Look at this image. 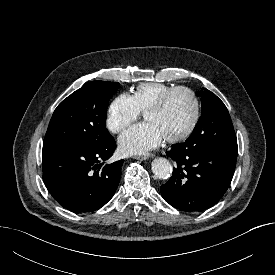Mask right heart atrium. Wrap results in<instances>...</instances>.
Segmentation results:
<instances>
[{
    "label": "right heart atrium",
    "instance_id": "right-heart-atrium-1",
    "mask_svg": "<svg viewBox=\"0 0 275 275\" xmlns=\"http://www.w3.org/2000/svg\"><path fill=\"white\" fill-rule=\"evenodd\" d=\"M140 116L131 95H118L109 105L106 117L107 128L112 133H120Z\"/></svg>",
    "mask_w": 275,
    "mask_h": 275
}]
</instances>
